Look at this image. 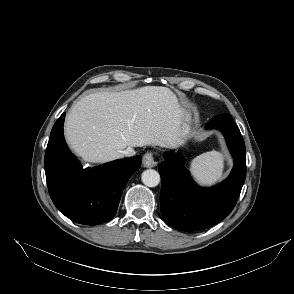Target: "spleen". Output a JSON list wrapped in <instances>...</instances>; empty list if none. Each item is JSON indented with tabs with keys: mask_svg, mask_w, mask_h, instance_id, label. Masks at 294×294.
Returning <instances> with one entry per match:
<instances>
[{
	"mask_svg": "<svg viewBox=\"0 0 294 294\" xmlns=\"http://www.w3.org/2000/svg\"><path fill=\"white\" fill-rule=\"evenodd\" d=\"M224 159L217 151L201 154L193 159L190 170L194 177L202 184H212L223 174Z\"/></svg>",
	"mask_w": 294,
	"mask_h": 294,
	"instance_id": "spleen-1",
	"label": "spleen"
}]
</instances>
